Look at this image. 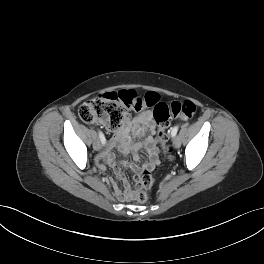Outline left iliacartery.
Listing matches in <instances>:
<instances>
[{
	"instance_id": "44dca946",
	"label": "left iliac artery",
	"mask_w": 264,
	"mask_h": 264,
	"mask_svg": "<svg viewBox=\"0 0 264 264\" xmlns=\"http://www.w3.org/2000/svg\"><path fill=\"white\" fill-rule=\"evenodd\" d=\"M179 127L178 126H174L171 130V136L174 137L176 136L177 132H178Z\"/></svg>"
}]
</instances>
